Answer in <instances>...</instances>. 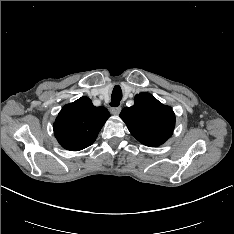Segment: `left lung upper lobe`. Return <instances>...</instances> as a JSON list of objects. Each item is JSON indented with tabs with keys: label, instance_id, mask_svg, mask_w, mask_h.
I'll list each match as a JSON object with an SVG mask.
<instances>
[{
	"label": "left lung upper lobe",
	"instance_id": "5c2ea615",
	"mask_svg": "<svg viewBox=\"0 0 234 234\" xmlns=\"http://www.w3.org/2000/svg\"><path fill=\"white\" fill-rule=\"evenodd\" d=\"M134 101L133 106L124 108L120 113L131 134L149 147L163 144L171 137L175 127L172 108L145 92L137 94Z\"/></svg>",
	"mask_w": 234,
	"mask_h": 234
}]
</instances>
